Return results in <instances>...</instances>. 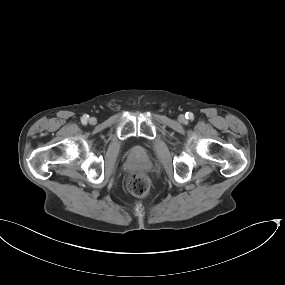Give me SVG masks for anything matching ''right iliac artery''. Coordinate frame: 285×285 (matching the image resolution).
I'll return each mask as SVG.
<instances>
[{
    "instance_id": "82829eb1",
    "label": "right iliac artery",
    "mask_w": 285,
    "mask_h": 285,
    "mask_svg": "<svg viewBox=\"0 0 285 285\" xmlns=\"http://www.w3.org/2000/svg\"><path fill=\"white\" fill-rule=\"evenodd\" d=\"M88 115H83V117L81 118V122L83 123V124H86V122H87V120H88Z\"/></svg>"
}]
</instances>
